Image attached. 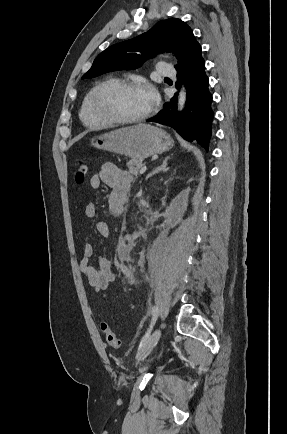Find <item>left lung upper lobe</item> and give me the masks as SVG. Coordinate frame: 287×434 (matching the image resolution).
<instances>
[{"label": "left lung upper lobe", "mask_w": 287, "mask_h": 434, "mask_svg": "<svg viewBox=\"0 0 287 434\" xmlns=\"http://www.w3.org/2000/svg\"><path fill=\"white\" fill-rule=\"evenodd\" d=\"M160 52L175 54L177 69L199 55L201 46L185 22L169 18L158 22L146 33L108 47L96 57L82 78H93L115 70L136 69Z\"/></svg>", "instance_id": "obj_1"}]
</instances>
